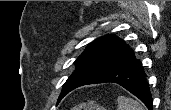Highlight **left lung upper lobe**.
<instances>
[{"label": "left lung upper lobe", "mask_w": 171, "mask_h": 110, "mask_svg": "<svg viewBox=\"0 0 171 110\" xmlns=\"http://www.w3.org/2000/svg\"><path fill=\"white\" fill-rule=\"evenodd\" d=\"M133 55L129 46L114 35L108 34L94 40L74 62L76 69L63 85L58 102L71 90L120 65Z\"/></svg>", "instance_id": "left-lung-upper-lobe-1"}]
</instances>
